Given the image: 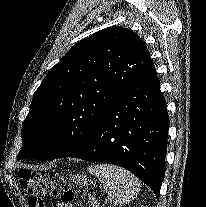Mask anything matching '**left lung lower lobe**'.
I'll use <instances>...</instances> for the list:
<instances>
[{
  "instance_id": "left-lung-lower-lobe-1",
  "label": "left lung lower lobe",
  "mask_w": 206,
  "mask_h": 207,
  "mask_svg": "<svg viewBox=\"0 0 206 207\" xmlns=\"http://www.w3.org/2000/svg\"><path fill=\"white\" fill-rule=\"evenodd\" d=\"M168 129L166 101L150 61L105 110L88 144L67 157L121 166L159 199Z\"/></svg>"
}]
</instances>
